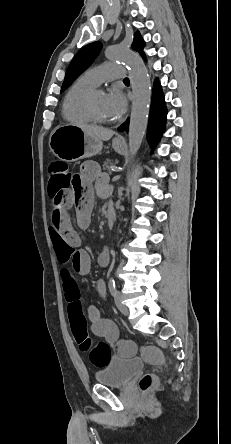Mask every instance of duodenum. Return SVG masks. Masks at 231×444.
I'll return each mask as SVG.
<instances>
[{
    "instance_id": "410a0bca",
    "label": "duodenum",
    "mask_w": 231,
    "mask_h": 444,
    "mask_svg": "<svg viewBox=\"0 0 231 444\" xmlns=\"http://www.w3.org/2000/svg\"><path fill=\"white\" fill-rule=\"evenodd\" d=\"M116 213L113 207H110L107 211V225L109 229H112L115 225Z\"/></svg>"
}]
</instances>
